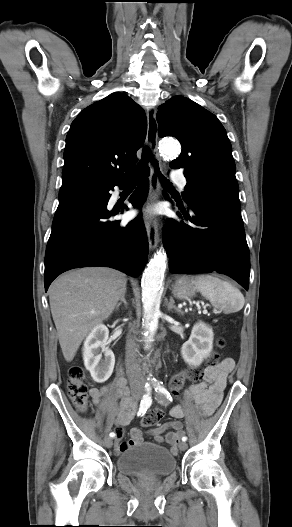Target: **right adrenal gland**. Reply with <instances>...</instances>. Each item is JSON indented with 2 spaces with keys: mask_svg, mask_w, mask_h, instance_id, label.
Wrapping results in <instances>:
<instances>
[{
  "mask_svg": "<svg viewBox=\"0 0 292 527\" xmlns=\"http://www.w3.org/2000/svg\"><path fill=\"white\" fill-rule=\"evenodd\" d=\"M125 293H123V295L121 296L118 304L116 305V308H115L116 311L119 310V307L122 305V303L127 307V302H126V299H125Z\"/></svg>",
  "mask_w": 292,
  "mask_h": 527,
  "instance_id": "2a0ac1e0",
  "label": "right adrenal gland"
}]
</instances>
